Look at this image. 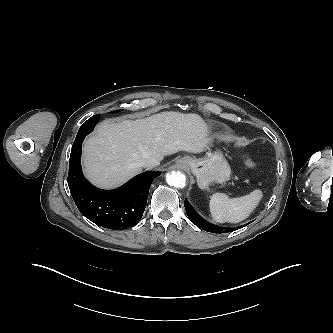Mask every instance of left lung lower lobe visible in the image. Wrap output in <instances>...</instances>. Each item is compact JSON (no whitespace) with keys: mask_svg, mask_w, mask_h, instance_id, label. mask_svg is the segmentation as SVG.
Listing matches in <instances>:
<instances>
[{"mask_svg":"<svg viewBox=\"0 0 333 333\" xmlns=\"http://www.w3.org/2000/svg\"><path fill=\"white\" fill-rule=\"evenodd\" d=\"M186 213L193 224L197 227L202 228L205 231L212 232V233H228L235 230V228L230 227H221L215 224H211L202 218H200L193 209L189 206L187 202L184 203ZM243 227V226H242ZM239 228V227H238Z\"/></svg>","mask_w":333,"mask_h":333,"instance_id":"1","label":"left lung lower lobe"}]
</instances>
